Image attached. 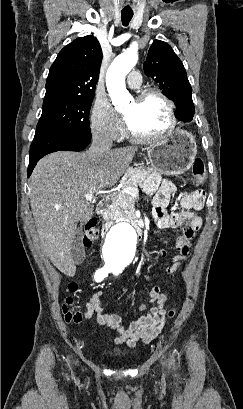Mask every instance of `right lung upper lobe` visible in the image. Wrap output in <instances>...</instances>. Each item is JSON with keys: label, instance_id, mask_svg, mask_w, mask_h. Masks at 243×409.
Returning a JSON list of instances; mask_svg holds the SVG:
<instances>
[{"label": "right lung upper lobe", "instance_id": "1", "mask_svg": "<svg viewBox=\"0 0 243 409\" xmlns=\"http://www.w3.org/2000/svg\"><path fill=\"white\" fill-rule=\"evenodd\" d=\"M101 60L100 44L92 35L65 46L49 70L44 101L93 97Z\"/></svg>", "mask_w": 243, "mask_h": 409}]
</instances>
